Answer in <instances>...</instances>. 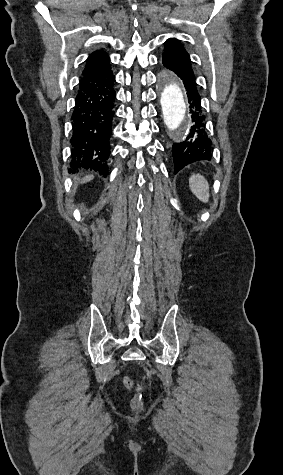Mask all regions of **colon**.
Masks as SVG:
<instances>
[{"instance_id":"obj_1","label":"colon","mask_w":283,"mask_h":475,"mask_svg":"<svg viewBox=\"0 0 283 475\" xmlns=\"http://www.w3.org/2000/svg\"><path fill=\"white\" fill-rule=\"evenodd\" d=\"M145 384H146V376H144L142 381H140L137 384L127 380V387L134 390L136 393V396L134 399L135 407H139L141 405V395L145 389Z\"/></svg>"}]
</instances>
